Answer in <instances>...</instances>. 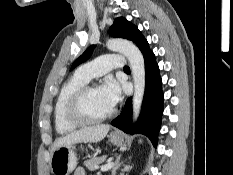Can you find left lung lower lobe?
I'll list each match as a JSON object with an SVG mask.
<instances>
[{"label":"left lung lower lobe","instance_id":"obj_1","mask_svg":"<svg viewBox=\"0 0 233 175\" xmlns=\"http://www.w3.org/2000/svg\"><path fill=\"white\" fill-rule=\"evenodd\" d=\"M141 52L145 62V93L139 120L132 127V99L129 98L125 103L124 110L111 124L126 133L146 135L156 147L163 114L162 79L155 55L149 48V44H146Z\"/></svg>","mask_w":233,"mask_h":175}]
</instances>
